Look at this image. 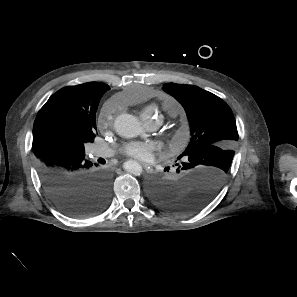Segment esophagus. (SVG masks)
Masks as SVG:
<instances>
[{"mask_svg":"<svg viewBox=\"0 0 297 297\" xmlns=\"http://www.w3.org/2000/svg\"><path fill=\"white\" fill-rule=\"evenodd\" d=\"M140 164L144 167V169L147 171V172H151L152 171V168L146 164V163H142L140 162Z\"/></svg>","mask_w":297,"mask_h":297,"instance_id":"obj_1","label":"esophagus"}]
</instances>
